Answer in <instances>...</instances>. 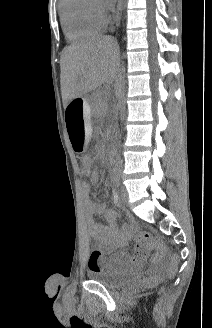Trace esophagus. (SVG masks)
Segmentation results:
<instances>
[{"mask_svg": "<svg viewBox=\"0 0 212 328\" xmlns=\"http://www.w3.org/2000/svg\"><path fill=\"white\" fill-rule=\"evenodd\" d=\"M124 0H118L117 3V11L115 16V27L118 28L122 16Z\"/></svg>", "mask_w": 212, "mask_h": 328, "instance_id": "34e87169", "label": "esophagus"}]
</instances>
